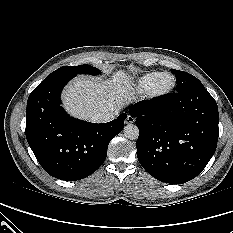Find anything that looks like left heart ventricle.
I'll return each instance as SVG.
<instances>
[{"mask_svg": "<svg viewBox=\"0 0 233 233\" xmlns=\"http://www.w3.org/2000/svg\"><path fill=\"white\" fill-rule=\"evenodd\" d=\"M170 83H171V77L170 76H164L158 82V88L159 89H164V88L168 87L170 85Z\"/></svg>", "mask_w": 233, "mask_h": 233, "instance_id": "left-heart-ventricle-1", "label": "left heart ventricle"}]
</instances>
